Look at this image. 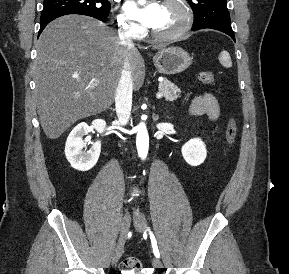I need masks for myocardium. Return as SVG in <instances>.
I'll return each mask as SVG.
<instances>
[{"instance_id":"1","label":"myocardium","mask_w":289,"mask_h":274,"mask_svg":"<svg viewBox=\"0 0 289 274\" xmlns=\"http://www.w3.org/2000/svg\"><path fill=\"white\" fill-rule=\"evenodd\" d=\"M170 3H175L181 7L183 11V21H182V24L177 29L171 32L162 33V32H158V31L151 29L150 30L151 35L160 40L169 41V40H175V39L182 37L190 30L194 21L193 8L188 0H163L162 1V4H170Z\"/></svg>"}]
</instances>
